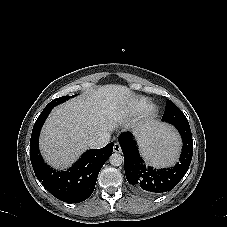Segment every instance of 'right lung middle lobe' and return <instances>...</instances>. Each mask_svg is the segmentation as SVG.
<instances>
[{"label":"right lung middle lobe","mask_w":227,"mask_h":227,"mask_svg":"<svg viewBox=\"0 0 227 227\" xmlns=\"http://www.w3.org/2000/svg\"><path fill=\"white\" fill-rule=\"evenodd\" d=\"M72 97H74V95L73 96H62L60 98H56V99L52 100L47 106H53L54 107L58 104L65 102L66 100H68Z\"/></svg>","instance_id":"right-lung-middle-lobe-1"}]
</instances>
